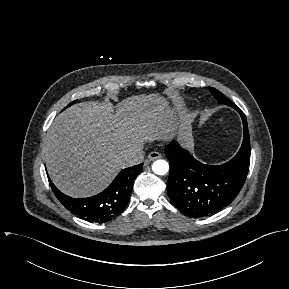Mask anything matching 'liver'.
<instances>
[{
    "label": "liver",
    "mask_w": 289,
    "mask_h": 289,
    "mask_svg": "<svg viewBox=\"0 0 289 289\" xmlns=\"http://www.w3.org/2000/svg\"><path fill=\"white\" fill-rule=\"evenodd\" d=\"M160 94L128 98L117 106L74 105L51 124L45 142L48 174L64 194L84 198L105 189L124 158L145 141L173 134V110Z\"/></svg>",
    "instance_id": "6515ba94"
}]
</instances>
